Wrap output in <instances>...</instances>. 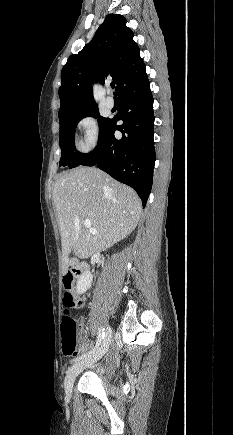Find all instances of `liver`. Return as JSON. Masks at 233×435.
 Segmentation results:
<instances>
[{
	"instance_id": "liver-1",
	"label": "liver",
	"mask_w": 233,
	"mask_h": 435,
	"mask_svg": "<svg viewBox=\"0 0 233 435\" xmlns=\"http://www.w3.org/2000/svg\"><path fill=\"white\" fill-rule=\"evenodd\" d=\"M53 204L61 233L64 275L71 251L80 259L105 251L130 235L141 214L137 193L94 167H79L58 178ZM86 219L97 234L84 227Z\"/></svg>"
}]
</instances>
